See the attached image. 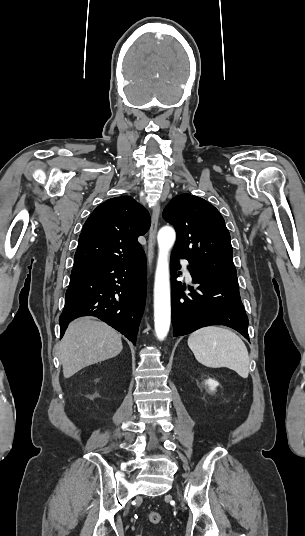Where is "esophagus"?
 <instances>
[{"instance_id":"esophagus-1","label":"esophagus","mask_w":305,"mask_h":536,"mask_svg":"<svg viewBox=\"0 0 305 536\" xmlns=\"http://www.w3.org/2000/svg\"><path fill=\"white\" fill-rule=\"evenodd\" d=\"M160 215V206L157 205L154 207L152 212L151 226L149 229V238H148V261L150 270L152 269L153 258H154V249L156 245V235L158 229V220Z\"/></svg>"}]
</instances>
